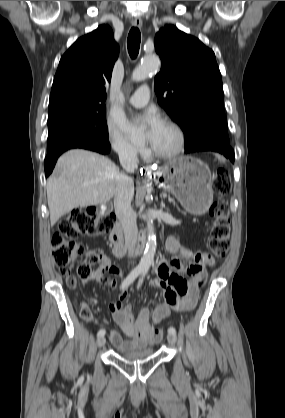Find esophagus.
Here are the masks:
<instances>
[{
  "instance_id": "esophagus-1",
  "label": "esophagus",
  "mask_w": 285,
  "mask_h": 418,
  "mask_svg": "<svg viewBox=\"0 0 285 418\" xmlns=\"http://www.w3.org/2000/svg\"><path fill=\"white\" fill-rule=\"evenodd\" d=\"M132 25L137 28L142 27V19L140 17H135L134 20L132 21ZM153 168L154 167L151 165H148L145 167L146 171H151Z\"/></svg>"
}]
</instances>
